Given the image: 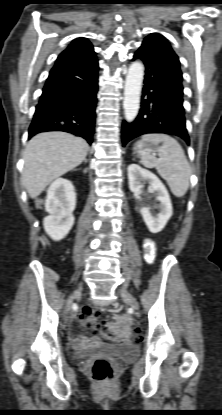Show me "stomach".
Masks as SVG:
<instances>
[{
    "label": "stomach",
    "mask_w": 222,
    "mask_h": 415,
    "mask_svg": "<svg viewBox=\"0 0 222 415\" xmlns=\"http://www.w3.org/2000/svg\"><path fill=\"white\" fill-rule=\"evenodd\" d=\"M148 149H151V145L143 140L137 141L133 147L134 154L137 155H141L144 151Z\"/></svg>",
    "instance_id": "1"
}]
</instances>
